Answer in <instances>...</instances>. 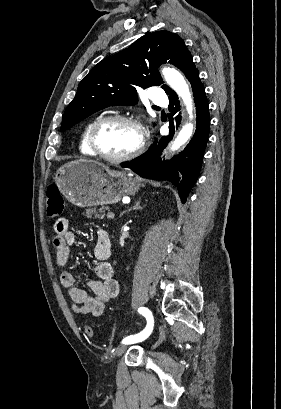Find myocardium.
I'll return each instance as SVG.
<instances>
[{"mask_svg":"<svg viewBox=\"0 0 281 409\" xmlns=\"http://www.w3.org/2000/svg\"><path fill=\"white\" fill-rule=\"evenodd\" d=\"M112 122H124L127 123L131 126H133L139 133L140 135V141L138 146L131 152L122 155V156H117V157H112L104 154L99 146V134L102 130V128ZM147 142V136L144 127L141 125L139 121L136 119L126 116V115H109L101 118L95 125L93 131H92V136H91V145L92 148L99 158L111 162V163H123L126 161H130L139 155H141L145 149Z\"/></svg>","mask_w":281,"mask_h":409,"instance_id":"myocardium-1","label":"myocardium"}]
</instances>
